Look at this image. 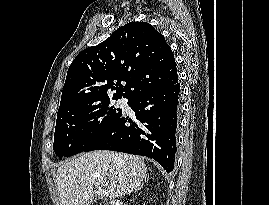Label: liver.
Listing matches in <instances>:
<instances>
[{
  "mask_svg": "<svg viewBox=\"0 0 269 205\" xmlns=\"http://www.w3.org/2000/svg\"><path fill=\"white\" fill-rule=\"evenodd\" d=\"M147 177L144 160L112 151L88 152L63 163L57 169L60 205H89L94 187H105L110 201L139 190Z\"/></svg>",
  "mask_w": 269,
  "mask_h": 205,
  "instance_id": "6515ba94",
  "label": "liver"
}]
</instances>
